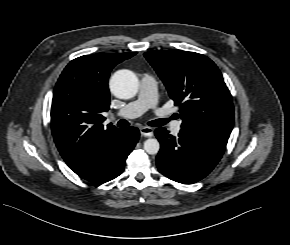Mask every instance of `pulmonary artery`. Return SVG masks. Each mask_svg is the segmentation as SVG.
I'll use <instances>...</instances> for the list:
<instances>
[{
    "label": "pulmonary artery",
    "mask_w": 290,
    "mask_h": 245,
    "mask_svg": "<svg viewBox=\"0 0 290 245\" xmlns=\"http://www.w3.org/2000/svg\"><path fill=\"white\" fill-rule=\"evenodd\" d=\"M148 109H153L155 114L159 117H168V112L162 107H158L156 79L150 74H144L140 78L139 91L136 99L127 103L120 110L115 112L114 116L135 118L143 114ZM180 129L181 122H174L172 125V131L177 134Z\"/></svg>",
    "instance_id": "e3ab8cb5"
}]
</instances>
